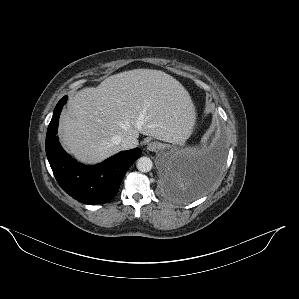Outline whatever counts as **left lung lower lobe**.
I'll return each mask as SVG.
<instances>
[{"instance_id": "1", "label": "left lung lower lobe", "mask_w": 299, "mask_h": 299, "mask_svg": "<svg viewBox=\"0 0 299 299\" xmlns=\"http://www.w3.org/2000/svg\"><path fill=\"white\" fill-rule=\"evenodd\" d=\"M225 156L223 145H217L191 159L172 161L164 166V191L171 193L174 178L190 183L189 191L202 193L208 190L220 174Z\"/></svg>"}]
</instances>
